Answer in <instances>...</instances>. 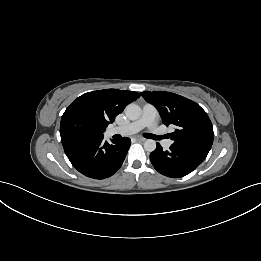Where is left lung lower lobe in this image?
I'll return each instance as SVG.
<instances>
[{"label": "left lung lower lobe", "instance_id": "1", "mask_svg": "<svg viewBox=\"0 0 261 261\" xmlns=\"http://www.w3.org/2000/svg\"><path fill=\"white\" fill-rule=\"evenodd\" d=\"M209 150L193 145L172 144L168 151L157 143L156 149L150 154L154 168L162 175L179 178L191 173L206 158Z\"/></svg>", "mask_w": 261, "mask_h": 261}]
</instances>
